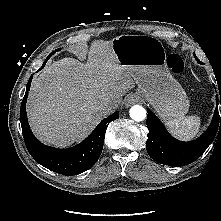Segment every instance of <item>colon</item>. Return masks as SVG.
I'll list each match as a JSON object with an SVG mask.
<instances>
[{
	"label": "colon",
	"instance_id": "5ec220e1",
	"mask_svg": "<svg viewBox=\"0 0 221 221\" xmlns=\"http://www.w3.org/2000/svg\"><path fill=\"white\" fill-rule=\"evenodd\" d=\"M168 66L175 74H181L185 69V63L183 59L176 54H172L168 57Z\"/></svg>",
	"mask_w": 221,
	"mask_h": 221
}]
</instances>
